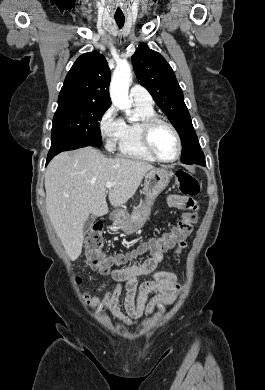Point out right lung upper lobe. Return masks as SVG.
<instances>
[{"instance_id": "obj_1", "label": "right lung upper lobe", "mask_w": 265, "mask_h": 390, "mask_svg": "<svg viewBox=\"0 0 265 390\" xmlns=\"http://www.w3.org/2000/svg\"><path fill=\"white\" fill-rule=\"evenodd\" d=\"M110 69L97 51L82 54L68 72L58 102L81 101L111 106Z\"/></svg>"}]
</instances>
